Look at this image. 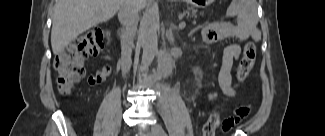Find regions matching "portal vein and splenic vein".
I'll list each match as a JSON object with an SVG mask.
<instances>
[{"mask_svg":"<svg viewBox=\"0 0 325 136\" xmlns=\"http://www.w3.org/2000/svg\"><path fill=\"white\" fill-rule=\"evenodd\" d=\"M181 28L185 27V22H181L179 25Z\"/></svg>","mask_w":325,"mask_h":136,"instance_id":"18ae733b","label":"portal vein and splenic vein"}]
</instances>
